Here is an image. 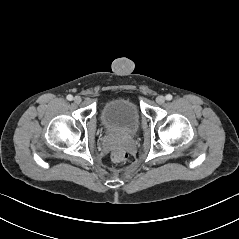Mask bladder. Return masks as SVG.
Listing matches in <instances>:
<instances>
[{
  "instance_id": "obj_1",
  "label": "bladder",
  "mask_w": 239,
  "mask_h": 239,
  "mask_svg": "<svg viewBox=\"0 0 239 239\" xmlns=\"http://www.w3.org/2000/svg\"><path fill=\"white\" fill-rule=\"evenodd\" d=\"M104 129L112 134L134 135L140 126V112L129 98H113L106 101L100 111Z\"/></svg>"
}]
</instances>
